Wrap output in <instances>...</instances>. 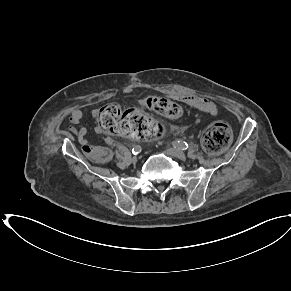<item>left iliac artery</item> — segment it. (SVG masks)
Masks as SVG:
<instances>
[{"label":"left iliac artery","mask_w":291,"mask_h":291,"mask_svg":"<svg viewBox=\"0 0 291 291\" xmlns=\"http://www.w3.org/2000/svg\"><path fill=\"white\" fill-rule=\"evenodd\" d=\"M173 146L182 150H186L188 148V144L185 141H181V140L175 141L173 143Z\"/></svg>","instance_id":"left-iliac-artery-1"}]
</instances>
